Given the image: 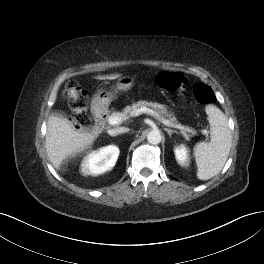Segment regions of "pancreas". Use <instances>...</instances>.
I'll list each match as a JSON object with an SVG mask.
<instances>
[{
  "instance_id": "cf45deb5",
  "label": "pancreas",
  "mask_w": 264,
  "mask_h": 264,
  "mask_svg": "<svg viewBox=\"0 0 264 264\" xmlns=\"http://www.w3.org/2000/svg\"><path fill=\"white\" fill-rule=\"evenodd\" d=\"M143 107H150L155 112H157L163 118L169 120L172 124L178 125L177 119L172 114L168 113L166 107L162 104L148 102V101H138L131 106H126L122 112H113L111 116H121L123 119H128L129 116H134V112Z\"/></svg>"
}]
</instances>
